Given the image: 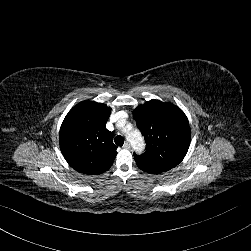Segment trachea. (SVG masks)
I'll list each match as a JSON object with an SVG mask.
<instances>
[{"instance_id":"obj_1","label":"trachea","mask_w":251,"mask_h":251,"mask_svg":"<svg viewBox=\"0 0 251 251\" xmlns=\"http://www.w3.org/2000/svg\"><path fill=\"white\" fill-rule=\"evenodd\" d=\"M114 142L118 146H122L124 144V138L121 135H117L114 139Z\"/></svg>"}]
</instances>
